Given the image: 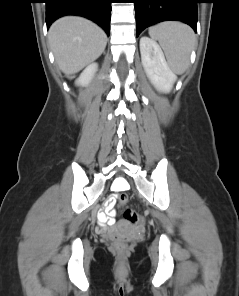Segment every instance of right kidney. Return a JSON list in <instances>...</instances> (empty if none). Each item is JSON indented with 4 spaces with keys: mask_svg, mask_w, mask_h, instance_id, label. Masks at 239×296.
Wrapping results in <instances>:
<instances>
[{
    "mask_svg": "<svg viewBox=\"0 0 239 296\" xmlns=\"http://www.w3.org/2000/svg\"><path fill=\"white\" fill-rule=\"evenodd\" d=\"M97 68V63H91L90 65H88L76 80V85L87 86L94 77Z\"/></svg>",
    "mask_w": 239,
    "mask_h": 296,
    "instance_id": "right-kidney-1",
    "label": "right kidney"
}]
</instances>
